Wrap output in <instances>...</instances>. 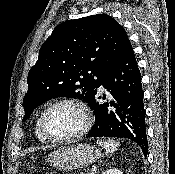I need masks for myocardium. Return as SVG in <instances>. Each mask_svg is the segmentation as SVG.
<instances>
[{"label":"myocardium","instance_id":"1","mask_svg":"<svg viewBox=\"0 0 175 174\" xmlns=\"http://www.w3.org/2000/svg\"><path fill=\"white\" fill-rule=\"evenodd\" d=\"M59 105H72L80 111V113L82 114V117H83L82 127L76 133H74L70 136H67V137H63V138L52 137L47 132L46 126H45L46 116L53 108H55L56 106H59ZM91 125H92V117H91V113H90L88 106L82 100L77 99V98H62V99H59V100L51 103L42 112L40 119H39V127H40V131H41L43 137L47 141L52 142V143H68V142L74 141V140L82 137L83 135H85L89 131Z\"/></svg>","mask_w":175,"mask_h":174}]
</instances>
